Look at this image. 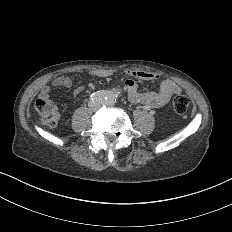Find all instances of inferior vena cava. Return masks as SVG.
<instances>
[{
	"label": "inferior vena cava",
	"mask_w": 232,
	"mask_h": 232,
	"mask_svg": "<svg viewBox=\"0 0 232 232\" xmlns=\"http://www.w3.org/2000/svg\"><path fill=\"white\" fill-rule=\"evenodd\" d=\"M89 107L93 110V111H98L100 109V104H95L92 103L91 101L89 102Z\"/></svg>",
	"instance_id": "602c4592"
}]
</instances>
